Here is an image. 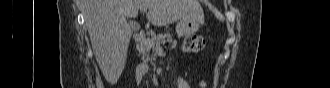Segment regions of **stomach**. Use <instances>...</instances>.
<instances>
[{"instance_id": "stomach-1", "label": "stomach", "mask_w": 330, "mask_h": 88, "mask_svg": "<svg viewBox=\"0 0 330 88\" xmlns=\"http://www.w3.org/2000/svg\"><path fill=\"white\" fill-rule=\"evenodd\" d=\"M203 21L204 18L202 17L182 18L176 25V32L179 37L191 35L199 29Z\"/></svg>"}]
</instances>
